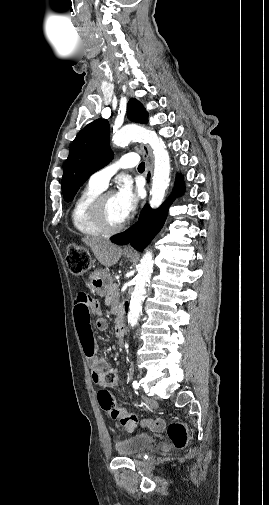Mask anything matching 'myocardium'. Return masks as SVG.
<instances>
[{
    "mask_svg": "<svg viewBox=\"0 0 269 505\" xmlns=\"http://www.w3.org/2000/svg\"><path fill=\"white\" fill-rule=\"evenodd\" d=\"M111 194L112 192L110 191L100 193L91 205V216L93 221L105 234L117 233L127 224L126 220L118 225H112L109 223L105 212V200Z\"/></svg>",
    "mask_w": 269,
    "mask_h": 505,
    "instance_id": "f54148a6",
    "label": "myocardium"
}]
</instances>
